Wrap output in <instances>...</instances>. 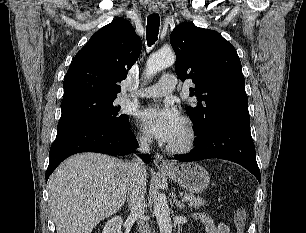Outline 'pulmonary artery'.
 <instances>
[{
  "label": "pulmonary artery",
  "mask_w": 306,
  "mask_h": 233,
  "mask_svg": "<svg viewBox=\"0 0 306 233\" xmlns=\"http://www.w3.org/2000/svg\"><path fill=\"white\" fill-rule=\"evenodd\" d=\"M176 84L177 80L174 75H165L161 77L157 84L140 90L137 96L143 98L162 97L171 93L175 89Z\"/></svg>",
  "instance_id": "e3ab8cb5"
}]
</instances>
